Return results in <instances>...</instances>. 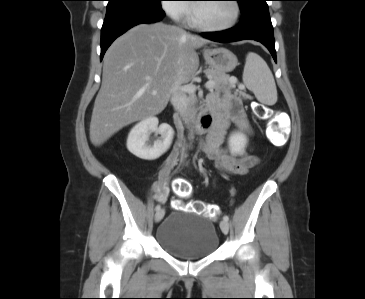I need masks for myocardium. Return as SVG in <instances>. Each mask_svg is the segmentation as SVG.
I'll return each instance as SVG.
<instances>
[{
    "mask_svg": "<svg viewBox=\"0 0 365 299\" xmlns=\"http://www.w3.org/2000/svg\"><path fill=\"white\" fill-rule=\"evenodd\" d=\"M230 1L232 2L233 7H234V17H233V19L230 23H228L226 25H223V26H209V25H206L198 19V16H197V13H196V6L192 5V7H191V23H192V25L199 28V29H201V30L207 31V32H223V31H227V30L232 29L233 27H235L237 25V23L240 20L241 6H240L238 0H230Z\"/></svg>",
    "mask_w": 365,
    "mask_h": 299,
    "instance_id": "f54148a6",
    "label": "myocardium"
}]
</instances>
